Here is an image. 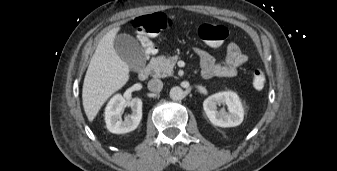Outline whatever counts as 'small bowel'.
I'll return each instance as SVG.
<instances>
[{"mask_svg": "<svg viewBox=\"0 0 337 171\" xmlns=\"http://www.w3.org/2000/svg\"><path fill=\"white\" fill-rule=\"evenodd\" d=\"M196 53L200 59L201 74L205 79L234 77L237 75L238 69L248 60L247 55L235 43H230L227 46L225 58L221 62L216 61L209 52L203 49H197Z\"/></svg>", "mask_w": 337, "mask_h": 171, "instance_id": "small-bowel-1", "label": "small bowel"}]
</instances>
